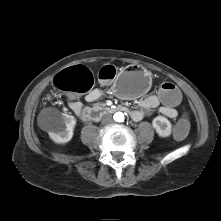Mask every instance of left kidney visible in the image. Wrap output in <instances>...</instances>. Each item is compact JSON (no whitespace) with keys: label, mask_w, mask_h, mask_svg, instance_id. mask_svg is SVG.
<instances>
[{"label":"left kidney","mask_w":221,"mask_h":221,"mask_svg":"<svg viewBox=\"0 0 221 221\" xmlns=\"http://www.w3.org/2000/svg\"><path fill=\"white\" fill-rule=\"evenodd\" d=\"M152 126L160 137H168L171 134L172 124L164 116L155 117Z\"/></svg>","instance_id":"obj_1"}]
</instances>
